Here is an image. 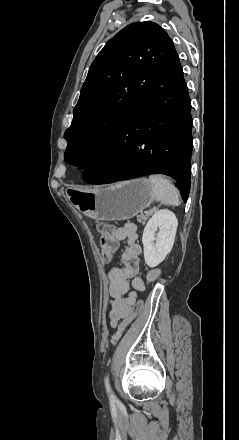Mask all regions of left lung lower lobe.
I'll use <instances>...</instances> for the list:
<instances>
[{"label":"left lung lower lobe","mask_w":239,"mask_h":440,"mask_svg":"<svg viewBox=\"0 0 239 440\" xmlns=\"http://www.w3.org/2000/svg\"><path fill=\"white\" fill-rule=\"evenodd\" d=\"M191 101L176 50L129 116L115 129L83 173L88 183L107 184L149 174H165L190 191Z\"/></svg>","instance_id":"1"}]
</instances>
